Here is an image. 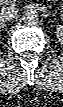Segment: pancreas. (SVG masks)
Instances as JSON below:
<instances>
[{
	"label": "pancreas",
	"instance_id": "cf45deb5",
	"mask_svg": "<svg viewBox=\"0 0 63 107\" xmlns=\"http://www.w3.org/2000/svg\"><path fill=\"white\" fill-rule=\"evenodd\" d=\"M13 1H8V3H12Z\"/></svg>",
	"mask_w": 63,
	"mask_h": 107
}]
</instances>
